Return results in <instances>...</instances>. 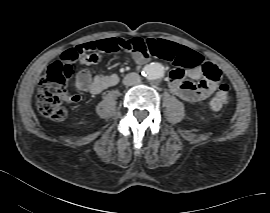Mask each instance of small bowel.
Returning <instances> with one entry per match:
<instances>
[{
  "label": "small bowel",
  "instance_id": "c3829d8e",
  "mask_svg": "<svg viewBox=\"0 0 270 213\" xmlns=\"http://www.w3.org/2000/svg\"><path fill=\"white\" fill-rule=\"evenodd\" d=\"M115 39L85 41L76 45L82 53L79 62L85 66H94L103 59V54L112 52L111 43ZM148 54L158 59L171 60L174 67L168 73L171 91L186 102H199L206 99L213 91L214 84L204 77L200 54L173 41L155 39ZM134 61L141 65L145 57L135 54ZM216 66V65H215ZM217 67V66H216ZM219 70V69H218ZM220 72V70H219ZM188 77L190 80H186ZM118 82L116 74H98L93 76L88 70L77 73L75 86L79 91L99 94ZM79 100V97L76 101Z\"/></svg>",
  "mask_w": 270,
  "mask_h": 213
}]
</instances>
